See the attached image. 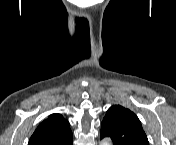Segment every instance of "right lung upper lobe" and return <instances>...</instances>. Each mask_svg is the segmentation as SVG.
Instances as JSON below:
<instances>
[{"label": "right lung upper lobe", "mask_w": 176, "mask_h": 145, "mask_svg": "<svg viewBox=\"0 0 176 145\" xmlns=\"http://www.w3.org/2000/svg\"><path fill=\"white\" fill-rule=\"evenodd\" d=\"M70 124L62 115L51 114L37 127L28 145H72Z\"/></svg>", "instance_id": "cb5924a9"}]
</instances>
